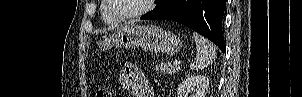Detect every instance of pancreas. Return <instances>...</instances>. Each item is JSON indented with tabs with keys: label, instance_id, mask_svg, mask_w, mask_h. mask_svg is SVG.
<instances>
[{
	"label": "pancreas",
	"instance_id": "1",
	"mask_svg": "<svg viewBox=\"0 0 302 97\" xmlns=\"http://www.w3.org/2000/svg\"><path fill=\"white\" fill-rule=\"evenodd\" d=\"M155 71L156 73L161 72V73H177L179 71V68L177 66L172 65L171 62H160L155 66Z\"/></svg>",
	"mask_w": 302,
	"mask_h": 97
}]
</instances>
